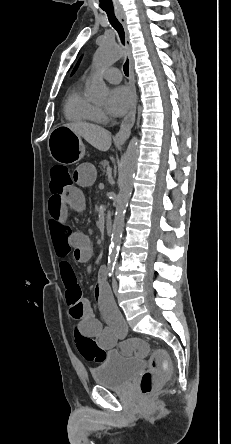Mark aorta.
Returning a JSON list of instances; mask_svg holds the SVG:
<instances>
[{
    "instance_id": "1",
    "label": "aorta",
    "mask_w": 231,
    "mask_h": 444,
    "mask_svg": "<svg viewBox=\"0 0 231 444\" xmlns=\"http://www.w3.org/2000/svg\"><path fill=\"white\" fill-rule=\"evenodd\" d=\"M121 57L119 46L113 41L103 42L97 49L93 64L96 69H102L114 64ZM91 97L103 101L108 95V88L102 78L94 77L89 83ZM138 158V138L133 137L129 142L121 172L119 174V193L116 198V211L111 234L108 263L114 265L121 243L125 213L133 190L134 174Z\"/></svg>"
}]
</instances>
